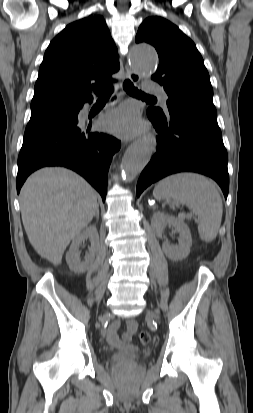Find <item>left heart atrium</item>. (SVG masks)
I'll return each instance as SVG.
<instances>
[{"label":"left heart atrium","instance_id":"obj_1","mask_svg":"<svg viewBox=\"0 0 253 413\" xmlns=\"http://www.w3.org/2000/svg\"><path fill=\"white\" fill-rule=\"evenodd\" d=\"M104 126L124 137L139 133L142 128L138 111L131 105H123L112 110L103 121Z\"/></svg>","mask_w":253,"mask_h":413}]
</instances>
